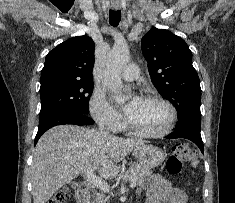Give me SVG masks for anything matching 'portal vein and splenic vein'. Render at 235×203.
I'll list each match as a JSON object with an SVG mask.
<instances>
[{
	"label": "portal vein and splenic vein",
	"mask_w": 235,
	"mask_h": 203,
	"mask_svg": "<svg viewBox=\"0 0 235 203\" xmlns=\"http://www.w3.org/2000/svg\"><path fill=\"white\" fill-rule=\"evenodd\" d=\"M85 178L93 185L99 187L102 191L104 192H109L110 187L107 184V182H105L102 178L96 176L94 174V168L88 170L85 173ZM136 186V183L134 181L131 182V187L134 188Z\"/></svg>",
	"instance_id": "portal-vein-and-splenic-vein-1"
}]
</instances>
